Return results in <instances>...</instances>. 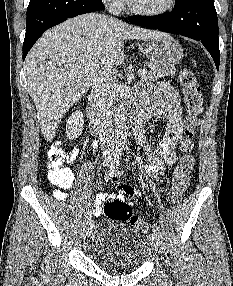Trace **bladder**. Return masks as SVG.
Segmentation results:
<instances>
[{
    "mask_svg": "<svg viewBox=\"0 0 233 286\" xmlns=\"http://www.w3.org/2000/svg\"><path fill=\"white\" fill-rule=\"evenodd\" d=\"M89 254L94 264L110 273L133 272L149 257L144 236L119 220H109L95 231Z\"/></svg>",
    "mask_w": 233,
    "mask_h": 286,
    "instance_id": "obj_1",
    "label": "bladder"
}]
</instances>
